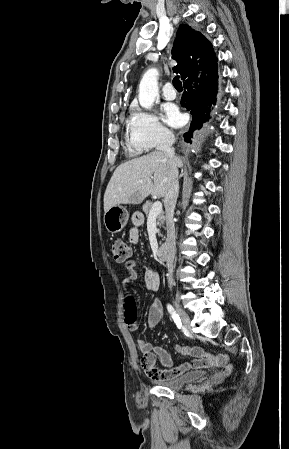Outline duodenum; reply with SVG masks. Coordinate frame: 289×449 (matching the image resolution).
<instances>
[{"label":"duodenum","mask_w":289,"mask_h":449,"mask_svg":"<svg viewBox=\"0 0 289 449\" xmlns=\"http://www.w3.org/2000/svg\"><path fill=\"white\" fill-rule=\"evenodd\" d=\"M157 256L159 260L165 261L168 257V245L166 243H162L159 245L157 249Z\"/></svg>","instance_id":"obj_1"}]
</instances>
